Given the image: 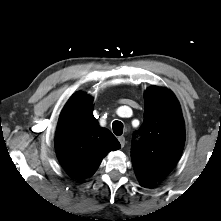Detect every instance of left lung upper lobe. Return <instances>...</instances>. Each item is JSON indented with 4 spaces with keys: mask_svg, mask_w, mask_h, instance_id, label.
<instances>
[{
    "mask_svg": "<svg viewBox=\"0 0 221 221\" xmlns=\"http://www.w3.org/2000/svg\"><path fill=\"white\" fill-rule=\"evenodd\" d=\"M144 122L139 144L133 142L131 159L135 173L156 182L176 165L185 142L179 103L166 88L153 86L145 92Z\"/></svg>",
    "mask_w": 221,
    "mask_h": 221,
    "instance_id": "left-lung-upper-lobe-1",
    "label": "left lung upper lobe"
}]
</instances>
